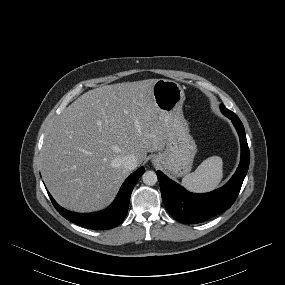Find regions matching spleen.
Instances as JSON below:
<instances>
[{
  "label": "spleen",
  "instance_id": "obj_1",
  "mask_svg": "<svg viewBox=\"0 0 285 285\" xmlns=\"http://www.w3.org/2000/svg\"><path fill=\"white\" fill-rule=\"evenodd\" d=\"M223 178V162L218 156L205 159L197 169L182 179V185L197 193L215 189Z\"/></svg>",
  "mask_w": 285,
  "mask_h": 285
}]
</instances>
